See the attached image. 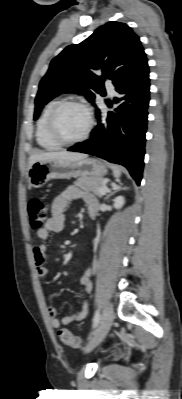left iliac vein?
I'll return each mask as SVG.
<instances>
[{
    "label": "left iliac vein",
    "mask_w": 182,
    "mask_h": 399,
    "mask_svg": "<svg viewBox=\"0 0 182 399\" xmlns=\"http://www.w3.org/2000/svg\"><path fill=\"white\" fill-rule=\"evenodd\" d=\"M114 320V310L110 302L105 306L103 317L99 328L95 332L94 336L89 340L87 346L85 347V352H89L94 349L98 344L102 342L107 333L109 332L112 322Z\"/></svg>",
    "instance_id": "1"
}]
</instances>
